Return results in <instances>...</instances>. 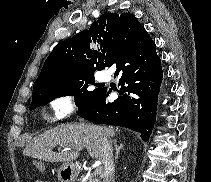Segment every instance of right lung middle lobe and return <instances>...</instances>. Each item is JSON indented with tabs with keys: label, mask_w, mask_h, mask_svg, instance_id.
<instances>
[{
	"label": "right lung middle lobe",
	"mask_w": 211,
	"mask_h": 182,
	"mask_svg": "<svg viewBox=\"0 0 211 182\" xmlns=\"http://www.w3.org/2000/svg\"><path fill=\"white\" fill-rule=\"evenodd\" d=\"M95 84L93 73L76 78L70 81L58 82L46 85L36 90L32 94V102L30 110L39 106H44L62 96H75V104L77 107L85 104L99 89H92Z\"/></svg>",
	"instance_id": "right-lung-middle-lobe-1"
}]
</instances>
